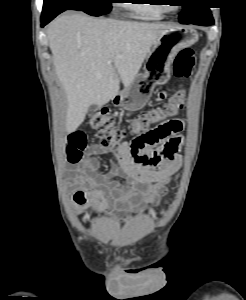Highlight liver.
<instances>
[{
    "mask_svg": "<svg viewBox=\"0 0 246 300\" xmlns=\"http://www.w3.org/2000/svg\"><path fill=\"white\" fill-rule=\"evenodd\" d=\"M171 25L64 14L47 28L56 75L67 97L66 131L74 132L91 105L103 106L129 87L150 47Z\"/></svg>",
    "mask_w": 246,
    "mask_h": 300,
    "instance_id": "obj_1",
    "label": "liver"
}]
</instances>
